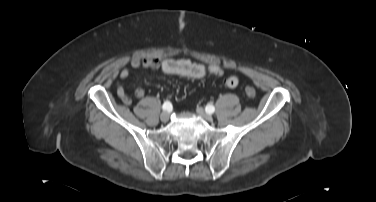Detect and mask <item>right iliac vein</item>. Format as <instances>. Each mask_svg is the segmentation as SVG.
<instances>
[{"instance_id":"1","label":"right iliac vein","mask_w":376,"mask_h":202,"mask_svg":"<svg viewBox=\"0 0 376 202\" xmlns=\"http://www.w3.org/2000/svg\"><path fill=\"white\" fill-rule=\"evenodd\" d=\"M169 116H170V114H169L168 111H163V112L161 113V115H160V120H161L162 122H167V121L169 120Z\"/></svg>"}]
</instances>
